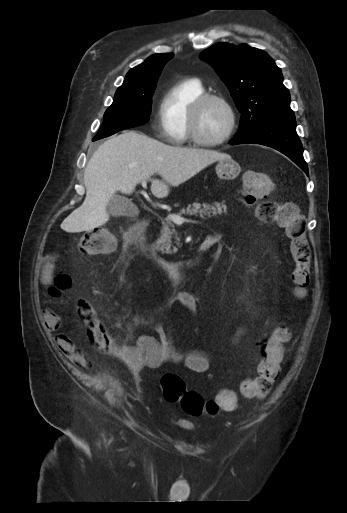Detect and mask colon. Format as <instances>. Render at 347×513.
Listing matches in <instances>:
<instances>
[{"label":"colon","instance_id":"5ec220e1","mask_svg":"<svg viewBox=\"0 0 347 513\" xmlns=\"http://www.w3.org/2000/svg\"><path fill=\"white\" fill-rule=\"evenodd\" d=\"M243 201L248 206L256 205L255 215L266 222H273L281 227L290 241V252L294 261L291 279L297 295H304L310 282L311 250L306 236L305 220L291 204L275 205L266 202L265 191L272 187L267 174L248 172L243 178ZM115 236L107 229L98 227L85 232L81 242V250L86 254H102L110 251L115 245ZM71 280L62 271L53 275L48 292L58 297L70 288ZM76 314L81 317L82 324L89 328L91 342L98 348L114 351L118 346L108 338L102 322L95 314L96 306L92 300H79L75 306ZM290 338L286 326L274 328L270 340L262 343V360L256 365V377L244 380L241 391L248 398H263L269 391L280 371V362L287 357L284 345ZM161 388L166 401L179 403L181 409L190 416L208 414L215 416L221 411H233L237 407L235 394L228 390H220L214 399L205 400L197 392L188 390L184 379L174 373H166L161 378Z\"/></svg>","mask_w":347,"mask_h":513}]
</instances>
